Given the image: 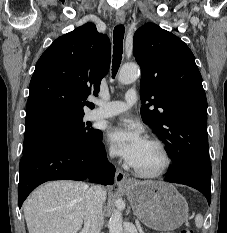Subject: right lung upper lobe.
I'll use <instances>...</instances> for the list:
<instances>
[{
	"instance_id": "1",
	"label": "right lung upper lobe",
	"mask_w": 227,
	"mask_h": 233,
	"mask_svg": "<svg viewBox=\"0 0 227 233\" xmlns=\"http://www.w3.org/2000/svg\"><path fill=\"white\" fill-rule=\"evenodd\" d=\"M110 41L87 23L56 39L38 60L30 82L25 135L83 118L110 66Z\"/></svg>"
}]
</instances>
